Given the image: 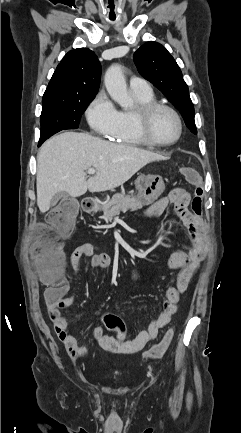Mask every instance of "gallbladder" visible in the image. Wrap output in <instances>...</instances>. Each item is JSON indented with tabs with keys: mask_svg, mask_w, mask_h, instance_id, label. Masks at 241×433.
Wrapping results in <instances>:
<instances>
[{
	"mask_svg": "<svg viewBox=\"0 0 241 433\" xmlns=\"http://www.w3.org/2000/svg\"><path fill=\"white\" fill-rule=\"evenodd\" d=\"M60 199L70 201V208H68V212L71 214L72 217H75L79 211V202L74 198H70L68 193L61 191L52 197L51 206L56 205Z\"/></svg>",
	"mask_w": 241,
	"mask_h": 433,
	"instance_id": "gallbladder-1",
	"label": "gallbladder"
}]
</instances>
